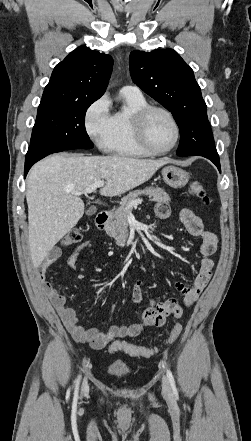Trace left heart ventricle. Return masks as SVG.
Instances as JSON below:
<instances>
[{
	"instance_id": "b2bd125f",
	"label": "left heart ventricle",
	"mask_w": 251,
	"mask_h": 441,
	"mask_svg": "<svg viewBox=\"0 0 251 441\" xmlns=\"http://www.w3.org/2000/svg\"><path fill=\"white\" fill-rule=\"evenodd\" d=\"M146 130L150 144L158 150L167 149L174 141V127L170 119L162 112H153L150 115Z\"/></svg>"
}]
</instances>
